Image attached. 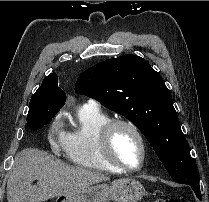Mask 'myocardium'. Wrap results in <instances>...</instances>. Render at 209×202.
Here are the masks:
<instances>
[{"label":"myocardium","mask_w":209,"mask_h":202,"mask_svg":"<svg viewBox=\"0 0 209 202\" xmlns=\"http://www.w3.org/2000/svg\"><path fill=\"white\" fill-rule=\"evenodd\" d=\"M126 127L130 129L138 138L140 145H141V151H142V157L141 162L138 166L132 167L128 166L118 159H116L112 153L111 149V137L114 132V130L118 127ZM98 147L99 150L103 156V158L106 160V162L111 165L112 167L125 172H136L143 168L147 156H148V145L147 141L145 139V136L143 132L140 130V128L133 122L127 120V119H112L110 120L101 130L98 138Z\"/></svg>","instance_id":"1"}]
</instances>
